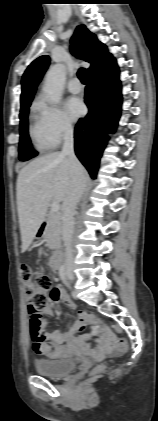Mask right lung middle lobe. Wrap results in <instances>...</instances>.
Returning <instances> with one entry per match:
<instances>
[{
  "mask_svg": "<svg viewBox=\"0 0 158 421\" xmlns=\"http://www.w3.org/2000/svg\"><path fill=\"white\" fill-rule=\"evenodd\" d=\"M30 103L21 105L20 110V142H19V159L21 161L29 160L30 158L37 155L32 149L31 141L28 135V112Z\"/></svg>",
  "mask_w": 158,
  "mask_h": 421,
  "instance_id": "right-lung-middle-lobe-1",
  "label": "right lung middle lobe"
}]
</instances>
